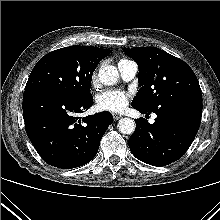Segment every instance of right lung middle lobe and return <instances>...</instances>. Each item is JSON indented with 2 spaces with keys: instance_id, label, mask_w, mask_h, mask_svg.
Segmentation results:
<instances>
[{
  "instance_id": "1",
  "label": "right lung middle lobe",
  "mask_w": 220,
  "mask_h": 220,
  "mask_svg": "<svg viewBox=\"0 0 220 220\" xmlns=\"http://www.w3.org/2000/svg\"><path fill=\"white\" fill-rule=\"evenodd\" d=\"M99 62L77 46L52 51L37 62L25 90L46 89L75 99L86 98L91 95L92 75Z\"/></svg>"
}]
</instances>
